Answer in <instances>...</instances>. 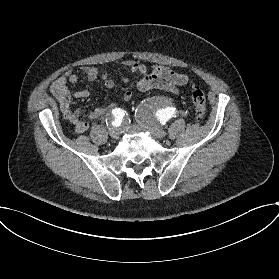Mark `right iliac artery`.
Wrapping results in <instances>:
<instances>
[{
  "label": "right iliac artery",
  "mask_w": 279,
  "mask_h": 279,
  "mask_svg": "<svg viewBox=\"0 0 279 279\" xmlns=\"http://www.w3.org/2000/svg\"><path fill=\"white\" fill-rule=\"evenodd\" d=\"M112 113L115 117V119L112 121V125L115 127H118L121 122H122V118L124 116V111H122L120 108H116L112 110Z\"/></svg>",
  "instance_id": "obj_1"
}]
</instances>
